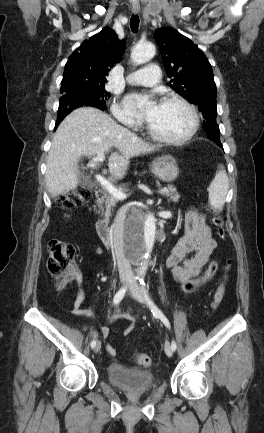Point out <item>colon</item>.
Returning a JSON list of instances; mask_svg holds the SVG:
<instances>
[{"mask_svg":"<svg viewBox=\"0 0 264 433\" xmlns=\"http://www.w3.org/2000/svg\"><path fill=\"white\" fill-rule=\"evenodd\" d=\"M91 196L89 190L86 189H78L75 190L61 199V206L66 209H72L76 207L78 204L83 203L88 200ZM212 223L217 230V236L220 239H225V231L222 228L223 220L221 216L212 211ZM48 270L56 278V286L59 290L63 289L68 282L74 277L76 273L75 267V248L74 246L66 241H62L59 239L51 240L48 244ZM231 267L230 260L227 261L225 269L228 271ZM218 270V262L211 261L203 273L193 279H190L181 284V291L185 294H189L197 290L201 287L206 281L211 279L216 271ZM225 293L224 283H221L216 289L213 301L212 308L215 309L223 300ZM136 359L139 364L149 367L152 365V358L146 354H136Z\"/></svg>","mask_w":264,"mask_h":433,"instance_id":"obj_1","label":"colon"}]
</instances>
